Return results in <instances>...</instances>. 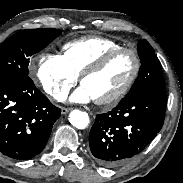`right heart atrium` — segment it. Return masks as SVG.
<instances>
[{
    "label": "right heart atrium",
    "mask_w": 183,
    "mask_h": 183,
    "mask_svg": "<svg viewBox=\"0 0 183 183\" xmlns=\"http://www.w3.org/2000/svg\"><path fill=\"white\" fill-rule=\"evenodd\" d=\"M36 60V75L43 90L55 100H64L77 83L78 76L68 67L61 54L42 52Z\"/></svg>",
    "instance_id": "obj_1"
}]
</instances>
